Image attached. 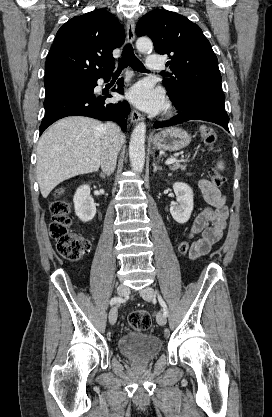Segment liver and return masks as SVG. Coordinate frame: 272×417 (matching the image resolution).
I'll use <instances>...</instances> for the list:
<instances>
[{
	"label": "liver",
	"mask_w": 272,
	"mask_h": 417,
	"mask_svg": "<svg viewBox=\"0 0 272 417\" xmlns=\"http://www.w3.org/2000/svg\"><path fill=\"white\" fill-rule=\"evenodd\" d=\"M102 126L95 119L73 116L59 120L43 133L38 142L36 165L43 198L61 182L99 169ZM123 142L122 135L120 147Z\"/></svg>",
	"instance_id": "1"
}]
</instances>
